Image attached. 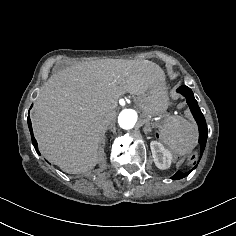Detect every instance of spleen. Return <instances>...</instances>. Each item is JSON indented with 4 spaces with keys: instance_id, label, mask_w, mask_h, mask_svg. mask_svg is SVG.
Wrapping results in <instances>:
<instances>
[{
    "instance_id": "3e777b00",
    "label": "spleen",
    "mask_w": 236,
    "mask_h": 236,
    "mask_svg": "<svg viewBox=\"0 0 236 236\" xmlns=\"http://www.w3.org/2000/svg\"><path fill=\"white\" fill-rule=\"evenodd\" d=\"M160 129L164 142L178 154L191 153L197 144V126L186 119L170 117Z\"/></svg>"
}]
</instances>
